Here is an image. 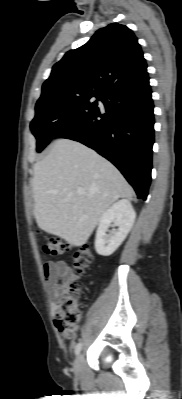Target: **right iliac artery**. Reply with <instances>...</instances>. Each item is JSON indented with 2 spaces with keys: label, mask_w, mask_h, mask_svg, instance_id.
Instances as JSON below:
<instances>
[{
  "label": "right iliac artery",
  "mask_w": 182,
  "mask_h": 399,
  "mask_svg": "<svg viewBox=\"0 0 182 399\" xmlns=\"http://www.w3.org/2000/svg\"><path fill=\"white\" fill-rule=\"evenodd\" d=\"M82 348V343L79 342L76 346H75V354H79V352L81 351Z\"/></svg>",
  "instance_id": "obj_1"
}]
</instances>
